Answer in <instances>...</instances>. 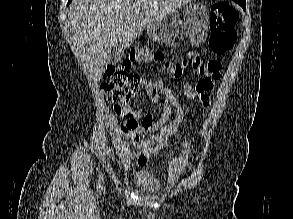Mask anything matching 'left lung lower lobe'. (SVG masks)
<instances>
[{
	"mask_svg": "<svg viewBox=\"0 0 293 219\" xmlns=\"http://www.w3.org/2000/svg\"><path fill=\"white\" fill-rule=\"evenodd\" d=\"M234 1L237 2L239 5H241L243 9H245V7H246V2H245V0H240V1H236V0H234Z\"/></svg>",
	"mask_w": 293,
	"mask_h": 219,
	"instance_id": "left-lung-lower-lobe-1",
	"label": "left lung lower lobe"
}]
</instances>
